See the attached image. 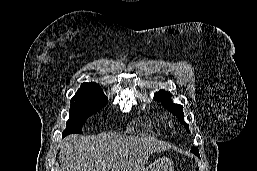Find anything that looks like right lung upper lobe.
Segmentation results:
<instances>
[{"label": "right lung upper lobe", "mask_w": 257, "mask_h": 171, "mask_svg": "<svg viewBox=\"0 0 257 171\" xmlns=\"http://www.w3.org/2000/svg\"><path fill=\"white\" fill-rule=\"evenodd\" d=\"M81 91H97V92H102L101 87L94 83H82L80 89Z\"/></svg>", "instance_id": "right-lung-upper-lobe-1"}]
</instances>
